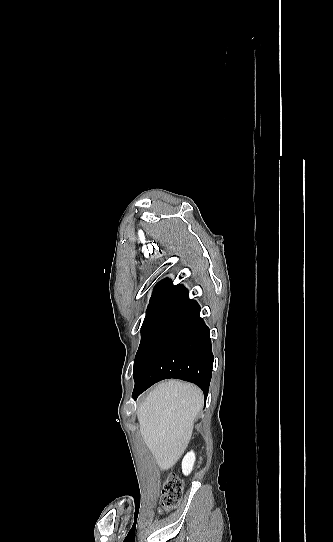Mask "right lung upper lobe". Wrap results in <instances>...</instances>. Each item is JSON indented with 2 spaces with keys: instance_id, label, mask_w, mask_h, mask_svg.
<instances>
[{
  "instance_id": "obj_1",
  "label": "right lung upper lobe",
  "mask_w": 333,
  "mask_h": 542,
  "mask_svg": "<svg viewBox=\"0 0 333 542\" xmlns=\"http://www.w3.org/2000/svg\"><path fill=\"white\" fill-rule=\"evenodd\" d=\"M168 279H164L159 282L155 288L153 295L150 299V304H158L164 300L167 295L175 288Z\"/></svg>"
}]
</instances>
